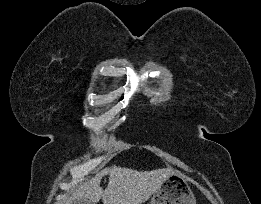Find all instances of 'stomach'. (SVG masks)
<instances>
[{
    "mask_svg": "<svg viewBox=\"0 0 261 204\" xmlns=\"http://www.w3.org/2000/svg\"><path fill=\"white\" fill-rule=\"evenodd\" d=\"M150 204H196V199L186 179L173 172L154 192Z\"/></svg>",
    "mask_w": 261,
    "mask_h": 204,
    "instance_id": "1",
    "label": "stomach"
}]
</instances>
